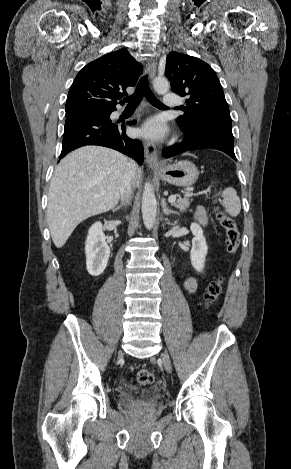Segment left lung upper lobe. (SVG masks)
<instances>
[{
  "mask_svg": "<svg viewBox=\"0 0 291 469\" xmlns=\"http://www.w3.org/2000/svg\"><path fill=\"white\" fill-rule=\"evenodd\" d=\"M165 75L175 93L188 97L184 115L177 118L183 131L209 126L232 129L220 81L207 63L187 54L171 52L167 56Z\"/></svg>",
  "mask_w": 291,
  "mask_h": 469,
  "instance_id": "left-lung-upper-lobe-1",
  "label": "left lung upper lobe"
}]
</instances>
